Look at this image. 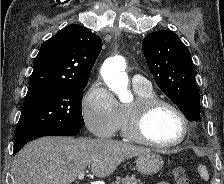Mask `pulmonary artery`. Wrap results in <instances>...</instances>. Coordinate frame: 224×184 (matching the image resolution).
I'll return each mask as SVG.
<instances>
[{
    "mask_svg": "<svg viewBox=\"0 0 224 184\" xmlns=\"http://www.w3.org/2000/svg\"><path fill=\"white\" fill-rule=\"evenodd\" d=\"M132 84L136 88H143V89H148L151 88V85L147 78L140 74H136L132 77Z\"/></svg>",
    "mask_w": 224,
    "mask_h": 184,
    "instance_id": "e3ab8cb5",
    "label": "pulmonary artery"
}]
</instances>
